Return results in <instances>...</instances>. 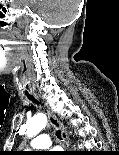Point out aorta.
I'll return each mask as SVG.
<instances>
[{
  "instance_id": "1",
  "label": "aorta",
  "mask_w": 119,
  "mask_h": 155,
  "mask_svg": "<svg viewBox=\"0 0 119 155\" xmlns=\"http://www.w3.org/2000/svg\"><path fill=\"white\" fill-rule=\"evenodd\" d=\"M47 124V117L44 114H37L26 123V134L33 137L39 134Z\"/></svg>"
}]
</instances>
